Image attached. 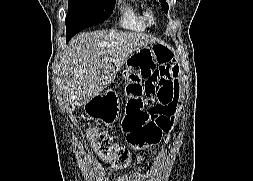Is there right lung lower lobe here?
<instances>
[{
	"instance_id": "98d812e1",
	"label": "right lung lower lobe",
	"mask_w": 253,
	"mask_h": 181,
	"mask_svg": "<svg viewBox=\"0 0 253 181\" xmlns=\"http://www.w3.org/2000/svg\"><path fill=\"white\" fill-rule=\"evenodd\" d=\"M72 36H66V41L68 42Z\"/></svg>"
}]
</instances>
